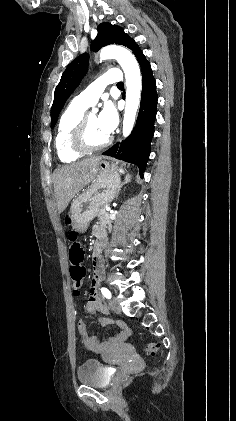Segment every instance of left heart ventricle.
Wrapping results in <instances>:
<instances>
[{"mask_svg":"<svg viewBox=\"0 0 236 421\" xmlns=\"http://www.w3.org/2000/svg\"><path fill=\"white\" fill-rule=\"evenodd\" d=\"M108 133L104 130L100 123L99 115L97 113L90 112L86 127H85V138L88 144L98 145L104 142Z\"/></svg>","mask_w":236,"mask_h":421,"instance_id":"obj_1","label":"left heart ventricle"}]
</instances>
